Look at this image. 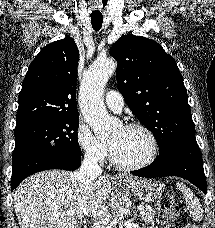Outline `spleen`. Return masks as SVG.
<instances>
[{
  "label": "spleen",
  "mask_w": 215,
  "mask_h": 228,
  "mask_svg": "<svg viewBox=\"0 0 215 228\" xmlns=\"http://www.w3.org/2000/svg\"><path fill=\"white\" fill-rule=\"evenodd\" d=\"M176 188L183 192L186 206H188L192 218H195V220H201L203 216V210L195 194H193V192H190L189 188H187V186H183V184H176Z\"/></svg>",
  "instance_id": "3e777b00"
}]
</instances>
